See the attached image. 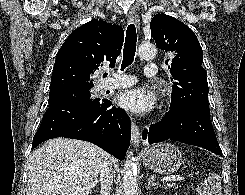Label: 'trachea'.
Instances as JSON below:
<instances>
[{"instance_id":"trachea-1","label":"trachea","mask_w":245,"mask_h":195,"mask_svg":"<svg viewBox=\"0 0 245 195\" xmlns=\"http://www.w3.org/2000/svg\"><path fill=\"white\" fill-rule=\"evenodd\" d=\"M136 43H137L136 28L134 24H130L127 27V31H126L121 70H124L127 66L133 63L135 52H136ZM103 76L106 77L107 73H105Z\"/></svg>"}]
</instances>
